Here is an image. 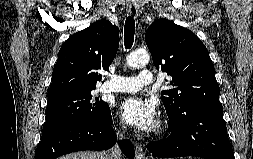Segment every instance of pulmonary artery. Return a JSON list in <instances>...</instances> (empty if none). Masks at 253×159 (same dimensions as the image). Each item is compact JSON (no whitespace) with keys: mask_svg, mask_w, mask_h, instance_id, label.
<instances>
[{"mask_svg":"<svg viewBox=\"0 0 253 159\" xmlns=\"http://www.w3.org/2000/svg\"><path fill=\"white\" fill-rule=\"evenodd\" d=\"M111 80L104 84L106 92H137L143 87L151 86L154 77L150 70L142 69L137 77H127L110 73Z\"/></svg>","mask_w":253,"mask_h":159,"instance_id":"pulmonary-artery-1","label":"pulmonary artery"}]
</instances>
